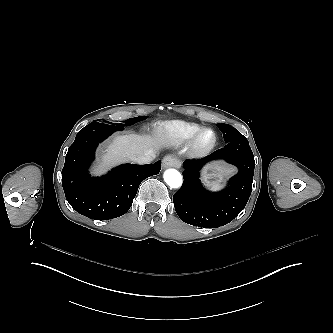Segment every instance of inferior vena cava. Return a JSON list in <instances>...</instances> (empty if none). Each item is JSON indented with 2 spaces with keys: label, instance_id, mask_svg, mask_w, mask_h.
<instances>
[{
  "label": "inferior vena cava",
  "instance_id": "1",
  "mask_svg": "<svg viewBox=\"0 0 333 333\" xmlns=\"http://www.w3.org/2000/svg\"><path fill=\"white\" fill-rule=\"evenodd\" d=\"M156 157V151L153 149L148 150L145 154L137 156L135 162L137 164H149Z\"/></svg>",
  "mask_w": 333,
  "mask_h": 333
}]
</instances>
